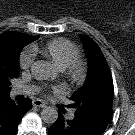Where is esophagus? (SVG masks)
<instances>
[{"label":"esophagus","instance_id":"1","mask_svg":"<svg viewBox=\"0 0 135 135\" xmlns=\"http://www.w3.org/2000/svg\"><path fill=\"white\" fill-rule=\"evenodd\" d=\"M33 106L44 108V107H46V103L40 99H35V100H33Z\"/></svg>","mask_w":135,"mask_h":135}]
</instances>
